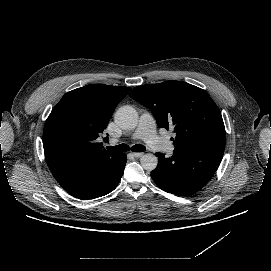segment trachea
Segmentation results:
<instances>
[{"mask_svg":"<svg viewBox=\"0 0 271 271\" xmlns=\"http://www.w3.org/2000/svg\"><path fill=\"white\" fill-rule=\"evenodd\" d=\"M108 150L115 151V152H125V151H135V152H143L145 150V147L140 144H136L132 147H129L127 144H120L113 147H108Z\"/></svg>","mask_w":271,"mask_h":271,"instance_id":"obj_1","label":"trachea"}]
</instances>
